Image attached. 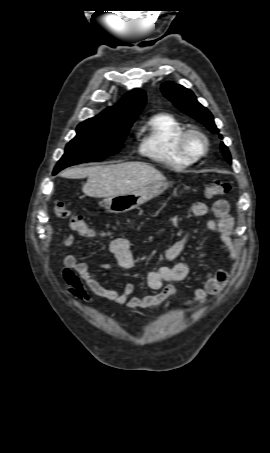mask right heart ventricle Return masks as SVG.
I'll use <instances>...</instances> for the list:
<instances>
[{
  "label": "right heart ventricle",
  "mask_w": 270,
  "mask_h": 453,
  "mask_svg": "<svg viewBox=\"0 0 270 453\" xmlns=\"http://www.w3.org/2000/svg\"><path fill=\"white\" fill-rule=\"evenodd\" d=\"M185 126L170 113H158L149 118L142 127L140 151L154 162L172 168L183 169L194 161L184 156L177 139Z\"/></svg>",
  "instance_id": "right-heart-ventricle-1"
}]
</instances>
